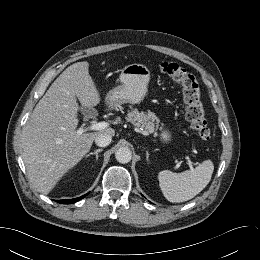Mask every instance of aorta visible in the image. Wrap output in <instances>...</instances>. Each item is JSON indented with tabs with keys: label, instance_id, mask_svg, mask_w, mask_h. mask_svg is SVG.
Wrapping results in <instances>:
<instances>
[{
	"label": "aorta",
	"instance_id": "aorta-1",
	"mask_svg": "<svg viewBox=\"0 0 260 260\" xmlns=\"http://www.w3.org/2000/svg\"><path fill=\"white\" fill-rule=\"evenodd\" d=\"M115 158L119 163H128L132 159V152L128 147H120L115 153Z\"/></svg>",
	"mask_w": 260,
	"mask_h": 260
}]
</instances>
